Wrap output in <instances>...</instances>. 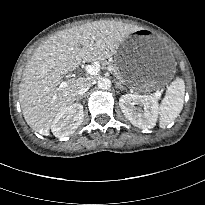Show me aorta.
Masks as SVG:
<instances>
[{
    "label": "aorta",
    "instance_id": "762f6f07",
    "mask_svg": "<svg viewBox=\"0 0 205 205\" xmlns=\"http://www.w3.org/2000/svg\"><path fill=\"white\" fill-rule=\"evenodd\" d=\"M97 84L102 90H107L111 87V81L108 78H100Z\"/></svg>",
    "mask_w": 205,
    "mask_h": 205
}]
</instances>
